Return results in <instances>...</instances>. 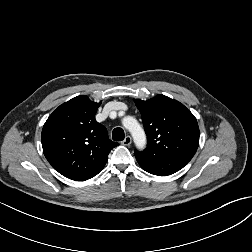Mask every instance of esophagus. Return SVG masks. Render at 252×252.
Here are the masks:
<instances>
[{"label":"esophagus","mask_w":252,"mask_h":252,"mask_svg":"<svg viewBox=\"0 0 252 252\" xmlns=\"http://www.w3.org/2000/svg\"><path fill=\"white\" fill-rule=\"evenodd\" d=\"M132 142V138L130 136H126L125 139L122 141L124 146H129Z\"/></svg>","instance_id":"34e87169"}]
</instances>
